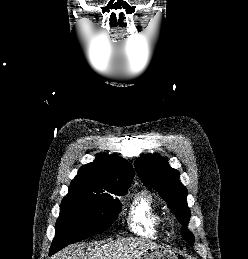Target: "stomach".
Listing matches in <instances>:
<instances>
[{"instance_id": "obj_1", "label": "stomach", "mask_w": 248, "mask_h": 259, "mask_svg": "<svg viewBox=\"0 0 248 259\" xmlns=\"http://www.w3.org/2000/svg\"><path fill=\"white\" fill-rule=\"evenodd\" d=\"M136 259H178V258L170 250L160 246H154L146 249Z\"/></svg>"}]
</instances>
